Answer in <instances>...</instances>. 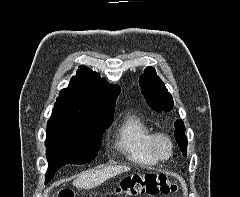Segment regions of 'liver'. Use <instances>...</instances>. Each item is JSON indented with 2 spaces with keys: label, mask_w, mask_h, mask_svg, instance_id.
Instances as JSON below:
<instances>
[{
  "label": "liver",
  "mask_w": 240,
  "mask_h": 197,
  "mask_svg": "<svg viewBox=\"0 0 240 197\" xmlns=\"http://www.w3.org/2000/svg\"><path fill=\"white\" fill-rule=\"evenodd\" d=\"M130 169L128 166H108L98 170H89L77 176L73 181V186L80 189H92L101 185L107 179L128 172Z\"/></svg>",
  "instance_id": "1"
}]
</instances>
